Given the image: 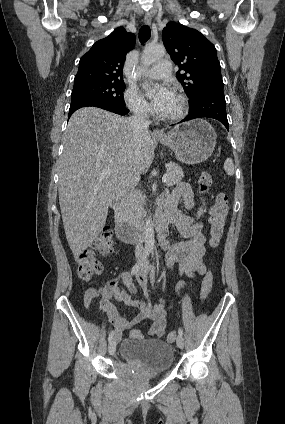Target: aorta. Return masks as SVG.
Here are the masks:
<instances>
[{"instance_id": "aorta-1", "label": "aorta", "mask_w": 285, "mask_h": 424, "mask_svg": "<svg viewBox=\"0 0 285 424\" xmlns=\"http://www.w3.org/2000/svg\"><path fill=\"white\" fill-rule=\"evenodd\" d=\"M165 53L166 49L164 46L146 47L141 56L143 68L147 69V67L152 65L154 62L164 57ZM154 242V228L152 219L149 217L145 226V246L153 248Z\"/></svg>"}]
</instances>
